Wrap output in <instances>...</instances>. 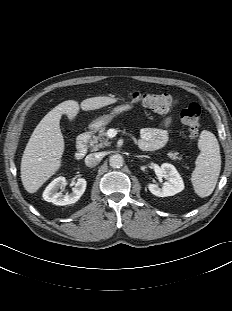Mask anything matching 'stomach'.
<instances>
[{"instance_id": "0dacf381", "label": "stomach", "mask_w": 232, "mask_h": 311, "mask_svg": "<svg viewBox=\"0 0 232 311\" xmlns=\"http://www.w3.org/2000/svg\"><path fill=\"white\" fill-rule=\"evenodd\" d=\"M130 108H131V106L129 104L117 106L116 108H114V110L110 114L103 115V116H100V117L94 119L89 124V129L92 131L100 130L102 127L107 125L114 118V116H116L120 113H123V112L129 110Z\"/></svg>"}]
</instances>
